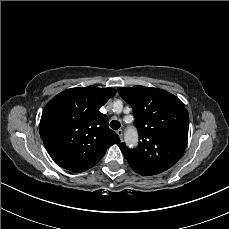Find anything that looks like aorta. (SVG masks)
Segmentation results:
<instances>
[{
	"label": "aorta",
	"instance_id": "1",
	"mask_svg": "<svg viewBox=\"0 0 229 229\" xmlns=\"http://www.w3.org/2000/svg\"><path fill=\"white\" fill-rule=\"evenodd\" d=\"M126 138H127V140L131 143V144H133V145H135L136 144V142H137V134H136V132L135 131H129L127 134H126Z\"/></svg>",
	"mask_w": 229,
	"mask_h": 229
}]
</instances>
